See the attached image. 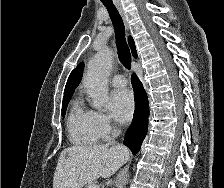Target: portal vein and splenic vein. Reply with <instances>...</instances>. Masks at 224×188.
I'll return each instance as SVG.
<instances>
[{
    "label": "portal vein and splenic vein",
    "mask_w": 224,
    "mask_h": 188,
    "mask_svg": "<svg viewBox=\"0 0 224 188\" xmlns=\"http://www.w3.org/2000/svg\"><path fill=\"white\" fill-rule=\"evenodd\" d=\"M91 188H100L98 185H92Z\"/></svg>",
    "instance_id": "portal-vein-and-splenic-vein-1"
}]
</instances>
